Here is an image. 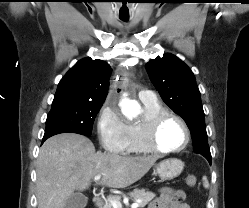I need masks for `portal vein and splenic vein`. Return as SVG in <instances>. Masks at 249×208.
I'll return each instance as SVG.
<instances>
[{
    "instance_id": "portal-vein-and-splenic-vein-1",
    "label": "portal vein and splenic vein",
    "mask_w": 249,
    "mask_h": 208,
    "mask_svg": "<svg viewBox=\"0 0 249 208\" xmlns=\"http://www.w3.org/2000/svg\"><path fill=\"white\" fill-rule=\"evenodd\" d=\"M100 178H101V176H100V175H97V176L94 177V180H95V181H99ZM139 202H140V201H138V203H133V204L131 205V208H138V207H139ZM110 203L112 204V207H113V208H122L121 202L118 201V200H116V199H110Z\"/></svg>"
}]
</instances>
